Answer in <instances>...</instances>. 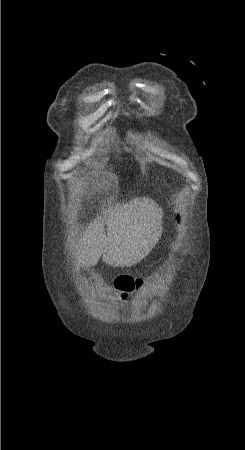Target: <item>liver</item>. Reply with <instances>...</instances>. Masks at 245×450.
Here are the masks:
<instances>
[{
	"label": "liver",
	"instance_id": "1",
	"mask_svg": "<svg viewBox=\"0 0 245 450\" xmlns=\"http://www.w3.org/2000/svg\"><path fill=\"white\" fill-rule=\"evenodd\" d=\"M162 217L158 204L145 197L108 206L80 238L76 247L78 262L90 267L96 265L102 256L109 266L135 265L158 243L163 231Z\"/></svg>",
	"mask_w": 245,
	"mask_h": 450
}]
</instances>
